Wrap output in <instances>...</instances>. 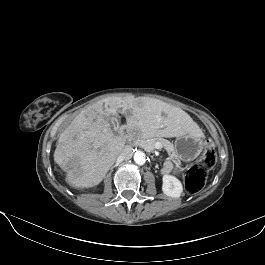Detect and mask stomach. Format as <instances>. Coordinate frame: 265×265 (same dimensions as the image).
<instances>
[{
	"mask_svg": "<svg viewBox=\"0 0 265 265\" xmlns=\"http://www.w3.org/2000/svg\"><path fill=\"white\" fill-rule=\"evenodd\" d=\"M174 147L177 157L187 162L199 156L203 149V144L200 137L185 134L176 137Z\"/></svg>",
	"mask_w": 265,
	"mask_h": 265,
	"instance_id": "stomach-1",
	"label": "stomach"
}]
</instances>
